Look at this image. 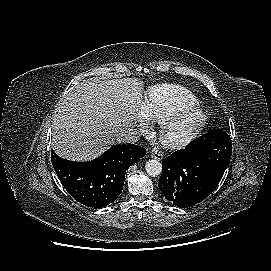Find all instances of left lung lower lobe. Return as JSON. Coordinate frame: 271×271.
Masks as SVG:
<instances>
[{
    "mask_svg": "<svg viewBox=\"0 0 271 271\" xmlns=\"http://www.w3.org/2000/svg\"><path fill=\"white\" fill-rule=\"evenodd\" d=\"M224 135L227 133L222 130H212L164 160L159 188L167 200L180 208L191 207L213 192L225 171L200 159L197 151L203 144L220 141Z\"/></svg>",
    "mask_w": 271,
    "mask_h": 271,
    "instance_id": "obj_1",
    "label": "left lung lower lobe"
}]
</instances>
